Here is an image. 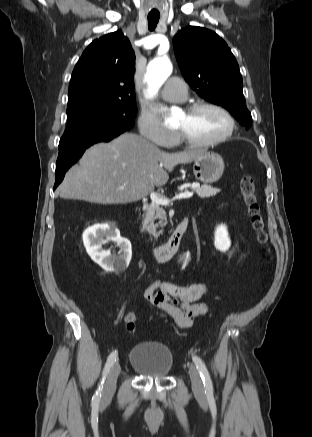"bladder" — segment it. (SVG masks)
Here are the masks:
<instances>
[{
  "instance_id": "31cf9c89",
  "label": "bladder",
  "mask_w": 312,
  "mask_h": 437,
  "mask_svg": "<svg viewBox=\"0 0 312 437\" xmlns=\"http://www.w3.org/2000/svg\"><path fill=\"white\" fill-rule=\"evenodd\" d=\"M129 365L144 377L163 379L173 369V354L169 347L161 342H142L130 350Z\"/></svg>"
}]
</instances>
